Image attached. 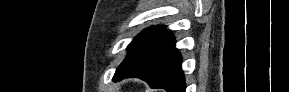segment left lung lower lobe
<instances>
[{
    "label": "left lung lower lobe",
    "mask_w": 289,
    "mask_h": 92,
    "mask_svg": "<svg viewBox=\"0 0 289 92\" xmlns=\"http://www.w3.org/2000/svg\"><path fill=\"white\" fill-rule=\"evenodd\" d=\"M182 58L175 48L170 31L158 37L141 55L125 67L116 70L113 80L138 77L151 88L167 92H185V78L181 68Z\"/></svg>",
    "instance_id": "0a47b994"
}]
</instances>
